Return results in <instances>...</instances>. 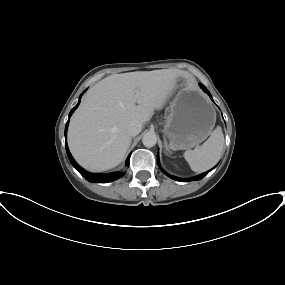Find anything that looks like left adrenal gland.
Returning <instances> with one entry per match:
<instances>
[{
	"instance_id": "a2214340",
	"label": "left adrenal gland",
	"mask_w": 285,
	"mask_h": 285,
	"mask_svg": "<svg viewBox=\"0 0 285 285\" xmlns=\"http://www.w3.org/2000/svg\"><path fill=\"white\" fill-rule=\"evenodd\" d=\"M164 144H165L166 154L170 153V150H169V147L167 145V141L165 138H164Z\"/></svg>"
}]
</instances>
